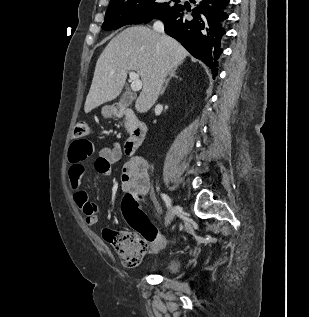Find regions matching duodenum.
Masks as SVG:
<instances>
[{
  "mask_svg": "<svg viewBox=\"0 0 309 317\" xmlns=\"http://www.w3.org/2000/svg\"><path fill=\"white\" fill-rule=\"evenodd\" d=\"M114 111L116 116L125 118L129 123V137L125 143V151L128 155H132L145 139V125L137 118L133 110L128 107L117 105Z\"/></svg>",
  "mask_w": 309,
  "mask_h": 317,
  "instance_id": "1",
  "label": "duodenum"
}]
</instances>
